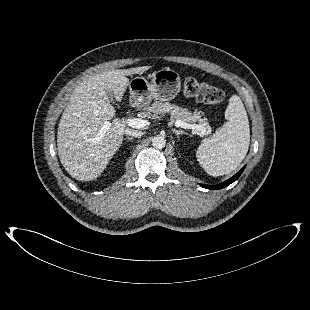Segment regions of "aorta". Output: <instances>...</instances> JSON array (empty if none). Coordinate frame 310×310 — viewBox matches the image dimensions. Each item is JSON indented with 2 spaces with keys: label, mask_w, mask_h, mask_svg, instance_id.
Instances as JSON below:
<instances>
[{
  "label": "aorta",
  "mask_w": 310,
  "mask_h": 310,
  "mask_svg": "<svg viewBox=\"0 0 310 310\" xmlns=\"http://www.w3.org/2000/svg\"><path fill=\"white\" fill-rule=\"evenodd\" d=\"M152 145L156 149H162L166 145V140L163 136H160V135L154 136L152 139Z\"/></svg>",
  "instance_id": "aorta-1"
}]
</instances>
